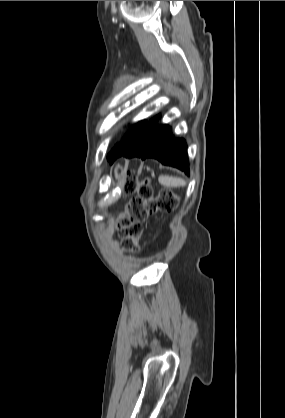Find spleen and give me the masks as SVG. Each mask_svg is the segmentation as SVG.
Listing matches in <instances>:
<instances>
[{
	"label": "spleen",
	"instance_id": "obj_1",
	"mask_svg": "<svg viewBox=\"0 0 285 418\" xmlns=\"http://www.w3.org/2000/svg\"><path fill=\"white\" fill-rule=\"evenodd\" d=\"M159 182L167 187H183L186 185L185 180L171 176H159Z\"/></svg>",
	"mask_w": 285,
	"mask_h": 418
}]
</instances>
